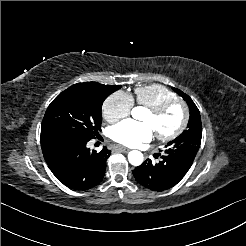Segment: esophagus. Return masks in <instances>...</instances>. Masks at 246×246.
<instances>
[{"label":"esophagus","instance_id":"1","mask_svg":"<svg viewBox=\"0 0 246 246\" xmlns=\"http://www.w3.org/2000/svg\"><path fill=\"white\" fill-rule=\"evenodd\" d=\"M114 149H115L116 151H119V152H122V153H128V152L130 151L129 148L121 147V146L115 147Z\"/></svg>","mask_w":246,"mask_h":246}]
</instances>
